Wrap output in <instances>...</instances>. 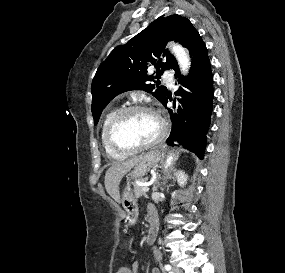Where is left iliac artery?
<instances>
[{
  "label": "left iliac artery",
  "instance_id": "left-iliac-artery-1",
  "mask_svg": "<svg viewBox=\"0 0 285 273\" xmlns=\"http://www.w3.org/2000/svg\"><path fill=\"white\" fill-rule=\"evenodd\" d=\"M164 269L166 270V271H170L171 270V266L169 265V264H166L165 266H164ZM171 273V272H170Z\"/></svg>",
  "mask_w": 285,
  "mask_h": 273
}]
</instances>
